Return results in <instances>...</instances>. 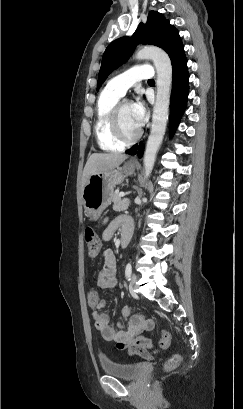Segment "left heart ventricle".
<instances>
[{"instance_id": "b2bd125f", "label": "left heart ventricle", "mask_w": 243, "mask_h": 409, "mask_svg": "<svg viewBox=\"0 0 243 409\" xmlns=\"http://www.w3.org/2000/svg\"><path fill=\"white\" fill-rule=\"evenodd\" d=\"M120 124L123 132L127 136L133 135L139 129L132 115L131 104L127 103L122 107L120 112Z\"/></svg>"}]
</instances>
